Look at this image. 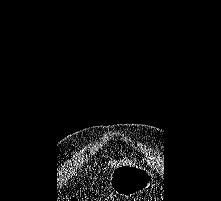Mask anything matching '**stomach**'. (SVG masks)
Here are the masks:
<instances>
[{
	"mask_svg": "<svg viewBox=\"0 0 221 201\" xmlns=\"http://www.w3.org/2000/svg\"><path fill=\"white\" fill-rule=\"evenodd\" d=\"M155 175L146 167L121 164L112 170L110 188L118 195L131 196L150 187Z\"/></svg>",
	"mask_w": 221,
	"mask_h": 201,
	"instance_id": "stomach-1",
	"label": "stomach"
}]
</instances>
